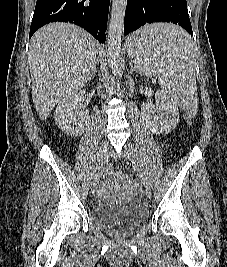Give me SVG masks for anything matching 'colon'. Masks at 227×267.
Wrapping results in <instances>:
<instances>
[{
	"mask_svg": "<svg viewBox=\"0 0 227 267\" xmlns=\"http://www.w3.org/2000/svg\"><path fill=\"white\" fill-rule=\"evenodd\" d=\"M182 117H184L183 124L188 125L186 127V130L192 131L193 128L195 127V124L193 123V120H191V118H196V113H184V114H182ZM108 174L111 175L112 171L108 170ZM128 182L132 186H134V184H135L133 180H129Z\"/></svg>",
	"mask_w": 227,
	"mask_h": 267,
	"instance_id": "obj_1",
	"label": "colon"
}]
</instances>
